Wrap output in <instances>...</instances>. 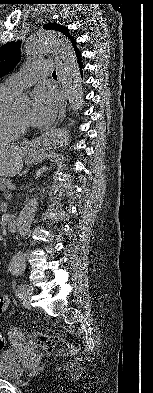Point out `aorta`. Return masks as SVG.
<instances>
[{"label": "aorta", "mask_w": 153, "mask_h": 393, "mask_svg": "<svg viewBox=\"0 0 153 393\" xmlns=\"http://www.w3.org/2000/svg\"><path fill=\"white\" fill-rule=\"evenodd\" d=\"M23 51L25 57L29 59L40 58L48 54L53 55L57 77L62 84L70 107L76 113L81 111L83 108L82 78L70 41L59 32L41 30L26 39ZM23 102H25L24 99H18L14 106L18 108ZM67 133L66 129H51L44 134L42 143L45 146L57 147L66 141ZM38 201L39 196L35 195L21 210L17 221L19 236L25 237L28 234L37 211ZM24 263L25 258L21 254H16L10 264L11 270L22 271Z\"/></svg>", "instance_id": "1"}]
</instances>
